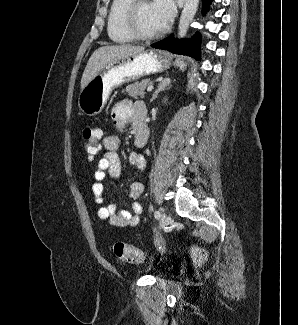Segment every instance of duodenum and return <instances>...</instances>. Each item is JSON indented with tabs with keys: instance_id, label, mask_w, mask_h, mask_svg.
Segmentation results:
<instances>
[{
	"instance_id": "1",
	"label": "duodenum",
	"mask_w": 298,
	"mask_h": 325,
	"mask_svg": "<svg viewBox=\"0 0 298 325\" xmlns=\"http://www.w3.org/2000/svg\"><path fill=\"white\" fill-rule=\"evenodd\" d=\"M133 127L136 135V143L143 145L149 135V128L147 122V108L144 103H136L132 115Z\"/></svg>"
}]
</instances>
